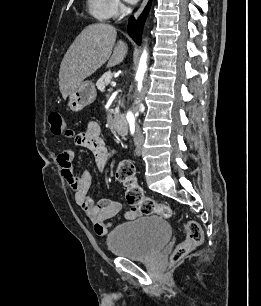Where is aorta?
Here are the masks:
<instances>
[{"instance_id":"762f6f07","label":"aorta","mask_w":261,"mask_h":306,"mask_svg":"<svg viewBox=\"0 0 261 306\" xmlns=\"http://www.w3.org/2000/svg\"><path fill=\"white\" fill-rule=\"evenodd\" d=\"M147 70V52L144 50L141 58H140V62H139V66H138V70L136 73V79L138 81V91H141L142 88V80L144 78V74ZM135 113L132 110H128L127 114H126V118L128 120V122H134L135 121Z\"/></svg>"}]
</instances>
